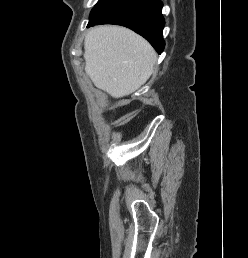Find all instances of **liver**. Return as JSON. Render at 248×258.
Segmentation results:
<instances>
[{
	"instance_id": "6515ba94",
	"label": "liver",
	"mask_w": 248,
	"mask_h": 258,
	"mask_svg": "<svg viewBox=\"0 0 248 258\" xmlns=\"http://www.w3.org/2000/svg\"><path fill=\"white\" fill-rule=\"evenodd\" d=\"M85 72L113 98L138 90L153 73L157 54L133 31L119 26L91 29L84 43Z\"/></svg>"
}]
</instances>
